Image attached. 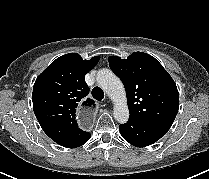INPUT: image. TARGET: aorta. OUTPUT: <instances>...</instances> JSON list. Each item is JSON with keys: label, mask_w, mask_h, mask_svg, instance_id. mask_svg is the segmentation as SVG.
Masks as SVG:
<instances>
[{"label": "aorta", "mask_w": 209, "mask_h": 179, "mask_svg": "<svg viewBox=\"0 0 209 179\" xmlns=\"http://www.w3.org/2000/svg\"><path fill=\"white\" fill-rule=\"evenodd\" d=\"M96 80L99 87L108 94L114 103L115 120L124 124L129 119L126 92L122 81L109 69L98 71Z\"/></svg>", "instance_id": "762f6f07"}]
</instances>
